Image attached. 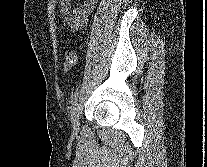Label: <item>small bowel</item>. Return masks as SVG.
<instances>
[{
    "label": "small bowel",
    "mask_w": 207,
    "mask_h": 167,
    "mask_svg": "<svg viewBox=\"0 0 207 167\" xmlns=\"http://www.w3.org/2000/svg\"><path fill=\"white\" fill-rule=\"evenodd\" d=\"M96 0H60L63 23L73 31L80 30L86 23Z\"/></svg>",
    "instance_id": "small-bowel-1"
}]
</instances>
